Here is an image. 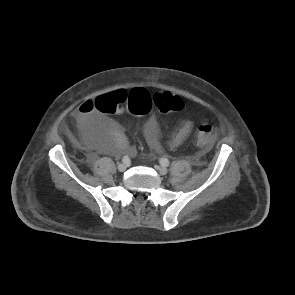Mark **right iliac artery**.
Masks as SVG:
<instances>
[{
	"mask_svg": "<svg viewBox=\"0 0 295 295\" xmlns=\"http://www.w3.org/2000/svg\"><path fill=\"white\" fill-rule=\"evenodd\" d=\"M122 161H123L124 163H129V162H130V159H129L128 156H124V157L122 158Z\"/></svg>",
	"mask_w": 295,
	"mask_h": 295,
	"instance_id": "right-iliac-artery-1",
	"label": "right iliac artery"
}]
</instances>
